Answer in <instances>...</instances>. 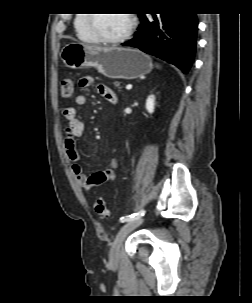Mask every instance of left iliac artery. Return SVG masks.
<instances>
[{"label": "left iliac artery", "mask_w": 252, "mask_h": 303, "mask_svg": "<svg viewBox=\"0 0 252 303\" xmlns=\"http://www.w3.org/2000/svg\"><path fill=\"white\" fill-rule=\"evenodd\" d=\"M144 212H145L144 210H141V211H139L138 213H134V214H131V215L122 217V218L120 219V221H121L122 223L132 221V220H134V219H136V218H140L141 216H143V215H144Z\"/></svg>", "instance_id": "44dca946"}]
</instances>
